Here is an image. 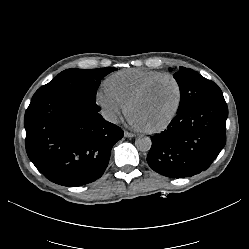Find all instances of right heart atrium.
Instances as JSON below:
<instances>
[{
    "label": "right heart atrium",
    "instance_id": "1",
    "mask_svg": "<svg viewBox=\"0 0 249 249\" xmlns=\"http://www.w3.org/2000/svg\"><path fill=\"white\" fill-rule=\"evenodd\" d=\"M95 101L103 117L112 123H115L128 108V103L109 92L106 88H102L96 93Z\"/></svg>",
    "mask_w": 249,
    "mask_h": 249
}]
</instances>
